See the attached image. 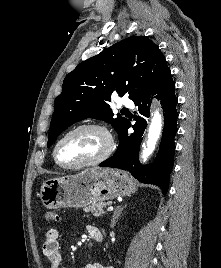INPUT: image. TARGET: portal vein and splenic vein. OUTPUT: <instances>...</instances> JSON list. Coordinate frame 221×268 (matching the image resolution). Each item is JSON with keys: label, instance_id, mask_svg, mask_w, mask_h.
<instances>
[{"label": "portal vein and splenic vein", "instance_id": "portal-vein-and-splenic-vein-1", "mask_svg": "<svg viewBox=\"0 0 221 268\" xmlns=\"http://www.w3.org/2000/svg\"><path fill=\"white\" fill-rule=\"evenodd\" d=\"M114 210V207L110 206L107 208V211H113Z\"/></svg>", "mask_w": 221, "mask_h": 268}]
</instances>
